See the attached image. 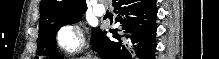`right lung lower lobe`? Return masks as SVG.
<instances>
[{
  "mask_svg": "<svg viewBox=\"0 0 219 59\" xmlns=\"http://www.w3.org/2000/svg\"><path fill=\"white\" fill-rule=\"evenodd\" d=\"M121 29L110 30L108 38L98 30L92 48L104 59H154L156 51L155 0H113Z\"/></svg>",
  "mask_w": 219,
  "mask_h": 59,
  "instance_id": "1",
  "label": "right lung lower lobe"
}]
</instances>
